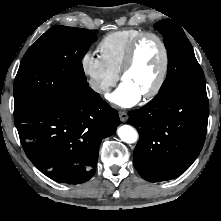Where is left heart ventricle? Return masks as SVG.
<instances>
[{"mask_svg": "<svg viewBox=\"0 0 221 221\" xmlns=\"http://www.w3.org/2000/svg\"><path fill=\"white\" fill-rule=\"evenodd\" d=\"M162 63L160 45L155 39L147 38L140 44L132 68L125 74L123 82L129 84L141 95L155 84Z\"/></svg>", "mask_w": 221, "mask_h": 221, "instance_id": "1", "label": "left heart ventricle"}]
</instances>
